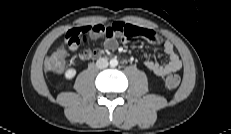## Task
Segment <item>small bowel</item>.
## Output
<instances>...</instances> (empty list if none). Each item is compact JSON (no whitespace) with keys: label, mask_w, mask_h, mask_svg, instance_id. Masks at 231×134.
Wrapping results in <instances>:
<instances>
[{"label":"small bowel","mask_w":231,"mask_h":134,"mask_svg":"<svg viewBox=\"0 0 231 134\" xmlns=\"http://www.w3.org/2000/svg\"><path fill=\"white\" fill-rule=\"evenodd\" d=\"M101 37L104 39L103 44L107 50H113L117 47L118 38H121L123 41H129L143 37L152 43L160 45L163 52L168 55V61L161 64L151 59L145 60V66L157 76H165L182 68V61L170 41L164 40L154 30L121 21L106 25L97 24L72 28L66 33L65 43L71 51H74L78 48L81 41L88 42ZM101 53L102 51L99 49H85L80 53L79 57L82 60H86L98 57Z\"/></svg>","instance_id":"obj_1"}]
</instances>
